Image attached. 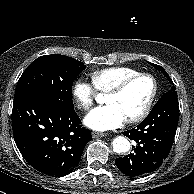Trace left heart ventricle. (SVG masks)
<instances>
[{"label": "left heart ventricle", "instance_id": "left-heart-ventricle-1", "mask_svg": "<svg viewBox=\"0 0 194 194\" xmlns=\"http://www.w3.org/2000/svg\"><path fill=\"white\" fill-rule=\"evenodd\" d=\"M152 90L153 85L149 78H139L130 83L121 94L107 95L105 102L114 105L125 119H129L143 110Z\"/></svg>", "mask_w": 194, "mask_h": 194}]
</instances>
